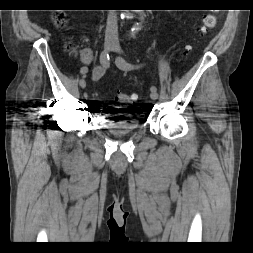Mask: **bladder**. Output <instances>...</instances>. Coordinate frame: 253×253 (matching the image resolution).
<instances>
[{"label":"bladder","instance_id":"obj_1","mask_svg":"<svg viewBox=\"0 0 253 253\" xmlns=\"http://www.w3.org/2000/svg\"><path fill=\"white\" fill-rule=\"evenodd\" d=\"M108 109L107 111H111ZM104 120L100 123V128L114 133H130L138 130L141 126L139 119L124 112L103 113Z\"/></svg>","mask_w":253,"mask_h":253}]
</instances>
